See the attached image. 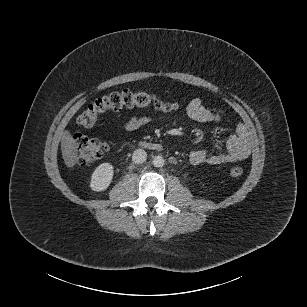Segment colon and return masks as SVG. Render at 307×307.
Wrapping results in <instances>:
<instances>
[{
	"instance_id": "5ec220e1",
	"label": "colon",
	"mask_w": 307,
	"mask_h": 307,
	"mask_svg": "<svg viewBox=\"0 0 307 307\" xmlns=\"http://www.w3.org/2000/svg\"><path fill=\"white\" fill-rule=\"evenodd\" d=\"M178 106V103L160 101L146 91L123 90L96 99L79 115L77 121L82 127L91 128L96 124L98 117L107 111L138 107L154 108L167 112L177 109ZM73 139L77 148L78 163L83 166L94 164L108 148L105 142L81 134H75ZM229 172L233 177H240L243 174V169L239 166H233Z\"/></svg>"
}]
</instances>
